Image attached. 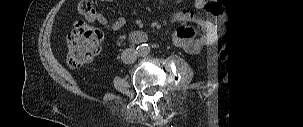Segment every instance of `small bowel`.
<instances>
[{"mask_svg":"<svg viewBox=\"0 0 303 127\" xmlns=\"http://www.w3.org/2000/svg\"><path fill=\"white\" fill-rule=\"evenodd\" d=\"M102 2H111L113 0H100ZM132 14H137V11H133ZM87 19L90 22H97L101 24L102 26L106 27L107 29H110L112 31H120L126 26V19L124 17H119L113 21H110L103 13L99 11H93L91 14L87 15ZM183 31L185 32V43L190 44L194 43L195 46L198 48L204 43L208 38H214L218 33L222 31V26L220 23H215L213 27L211 28V31L209 34L205 35H199L197 30L192 27H186L183 28ZM130 39L135 42L139 43L142 40L146 39V34L142 30H133L130 33Z\"/></svg>","mask_w":303,"mask_h":127,"instance_id":"c3829d8e","label":"small bowel"}]
</instances>
